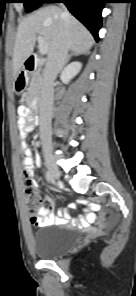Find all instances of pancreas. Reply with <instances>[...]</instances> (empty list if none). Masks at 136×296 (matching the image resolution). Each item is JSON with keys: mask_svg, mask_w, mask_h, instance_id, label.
<instances>
[{"mask_svg": "<svg viewBox=\"0 0 136 296\" xmlns=\"http://www.w3.org/2000/svg\"><path fill=\"white\" fill-rule=\"evenodd\" d=\"M43 82V77L40 70H37L32 75V80L27 91L26 99L27 101L37 100L40 94L41 86Z\"/></svg>", "mask_w": 136, "mask_h": 296, "instance_id": "1", "label": "pancreas"}]
</instances>
